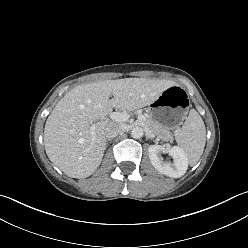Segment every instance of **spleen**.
<instances>
[{"label":"spleen","instance_id":"3e777b00","mask_svg":"<svg viewBox=\"0 0 248 248\" xmlns=\"http://www.w3.org/2000/svg\"><path fill=\"white\" fill-rule=\"evenodd\" d=\"M179 147L185 152L191 166L203 154L206 143V128L203 119L195 109H191L184 125L176 134Z\"/></svg>","mask_w":248,"mask_h":248}]
</instances>
